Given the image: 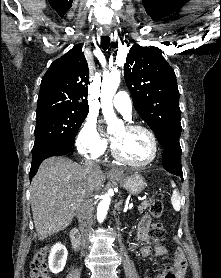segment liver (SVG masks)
Masks as SVG:
<instances>
[{"mask_svg":"<svg viewBox=\"0 0 221 278\" xmlns=\"http://www.w3.org/2000/svg\"><path fill=\"white\" fill-rule=\"evenodd\" d=\"M106 179L99 170L89 173L65 157H51L42 162L30 186L34 225L40 240L67 228L87 185L98 191Z\"/></svg>","mask_w":221,"mask_h":278,"instance_id":"liver-1","label":"liver"}]
</instances>
